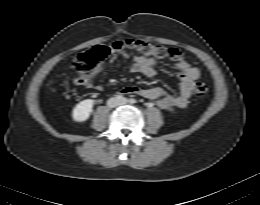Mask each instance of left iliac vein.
<instances>
[{
	"instance_id": "left-iliac-vein-1",
	"label": "left iliac vein",
	"mask_w": 260,
	"mask_h": 205,
	"mask_svg": "<svg viewBox=\"0 0 260 205\" xmlns=\"http://www.w3.org/2000/svg\"><path fill=\"white\" fill-rule=\"evenodd\" d=\"M129 103H130V101L126 98L118 101L119 105H125V104H129Z\"/></svg>"
}]
</instances>
